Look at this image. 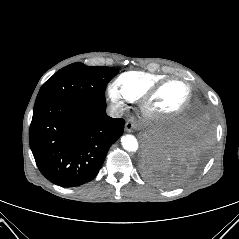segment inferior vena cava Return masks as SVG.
<instances>
[{
	"label": "inferior vena cava",
	"instance_id": "inferior-vena-cava-1",
	"mask_svg": "<svg viewBox=\"0 0 239 239\" xmlns=\"http://www.w3.org/2000/svg\"><path fill=\"white\" fill-rule=\"evenodd\" d=\"M106 112L110 117L120 118L124 114V108L118 105H110L107 107Z\"/></svg>",
	"mask_w": 239,
	"mask_h": 239
}]
</instances>
